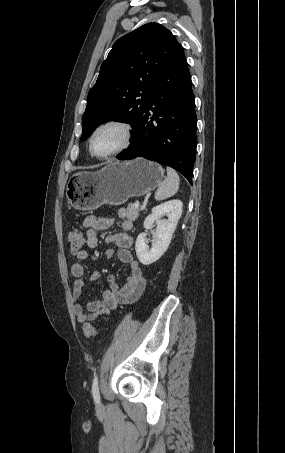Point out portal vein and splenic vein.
Instances as JSON below:
<instances>
[{"instance_id": "portal-vein-and-splenic-vein-1", "label": "portal vein and splenic vein", "mask_w": 285, "mask_h": 453, "mask_svg": "<svg viewBox=\"0 0 285 453\" xmlns=\"http://www.w3.org/2000/svg\"><path fill=\"white\" fill-rule=\"evenodd\" d=\"M134 207L138 208L139 207V202L134 203Z\"/></svg>"}]
</instances>
